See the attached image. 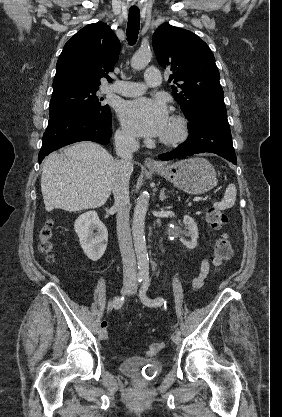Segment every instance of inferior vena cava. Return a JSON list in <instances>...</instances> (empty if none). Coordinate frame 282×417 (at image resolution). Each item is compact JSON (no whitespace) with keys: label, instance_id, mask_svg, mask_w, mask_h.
<instances>
[{"label":"inferior vena cava","instance_id":"602c4592","mask_svg":"<svg viewBox=\"0 0 282 417\" xmlns=\"http://www.w3.org/2000/svg\"><path fill=\"white\" fill-rule=\"evenodd\" d=\"M115 150L118 160H115L112 170V190L115 198L114 206L117 211V237L122 257L124 281H136L137 265L132 245L129 213V178L133 170L132 152L139 148L137 140L131 134L117 130L114 134Z\"/></svg>","mask_w":282,"mask_h":417}]
</instances>
